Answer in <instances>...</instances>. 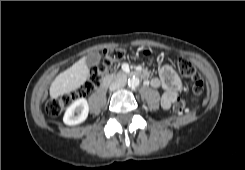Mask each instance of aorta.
<instances>
[{
    "label": "aorta",
    "mask_w": 245,
    "mask_h": 170,
    "mask_svg": "<svg viewBox=\"0 0 245 170\" xmlns=\"http://www.w3.org/2000/svg\"><path fill=\"white\" fill-rule=\"evenodd\" d=\"M139 84H140V81H139V78L137 77H131L128 79V85L132 88L139 86Z\"/></svg>",
    "instance_id": "obj_1"
}]
</instances>
